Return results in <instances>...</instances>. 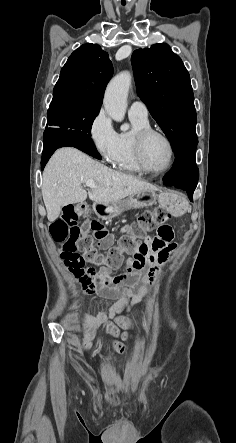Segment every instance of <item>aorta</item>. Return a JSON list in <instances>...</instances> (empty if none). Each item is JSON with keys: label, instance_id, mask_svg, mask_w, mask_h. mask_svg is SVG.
I'll return each mask as SVG.
<instances>
[{"label": "aorta", "instance_id": "obj_1", "mask_svg": "<svg viewBox=\"0 0 236 443\" xmlns=\"http://www.w3.org/2000/svg\"><path fill=\"white\" fill-rule=\"evenodd\" d=\"M131 81V74L128 71H124L115 76L106 88L103 100L104 108L107 114L116 122H121L125 117ZM128 129V124L121 127L122 131H127Z\"/></svg>", "mask_w": 236, "mask_h": 443}]
</instances>
